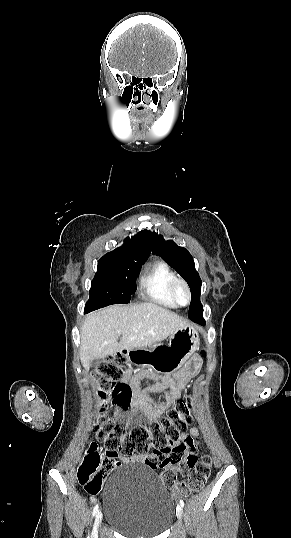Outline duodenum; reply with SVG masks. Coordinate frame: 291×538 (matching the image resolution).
Instances as JSON below:
<instances>
[{
	"instance_id": "410a0bca",
	"label": "duodenum",
	"mask_w": 291,
	"mask_h": 538,
	"mask_svg": "<svg viewBox=\"0 0 291 538\" xmlns=\"http://www.w3.org/2000/svg\"><path fill=\"white\" fill-rule=\"evenodd\" d=\"M129 355L131 357L138 358V357H141L143 355V353L140 350H132V351L129 352Z\"/></svg>"
}]
</instances>
